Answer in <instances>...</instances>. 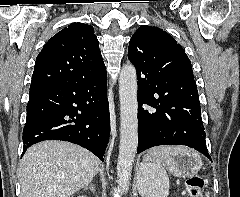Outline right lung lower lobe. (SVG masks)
<instances>
[{
    "mask_svg": "<svg viewBox=\"0 0 240 197\" xmlns=\"http://www.w3.org/2000/svg\"><path fill=\"white\" fill-rule=\"evenodd\" d=\"M107 73L81 81H53L30 88L23 153L44 140L78 144L102 161L109 140Z\"/></svg>",
    "mask_w": 240,
    "mask_h": 197,
    "instance_id": "98d812e1",
    "label": "right lung lower lobe"
}]
</instances>
